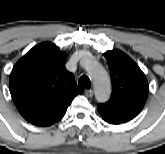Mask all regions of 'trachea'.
I'll return each mask as SVG.
<instances>
[{
  "label": "trachea",
  "mask_w": 165,
  "mask_h": 154,
  "mask_svg": "<svg viewBox=\"0 0 165 154\" xmlns=\"http://www.w3.org/2000/svg\"><path fill=\"white\" fill-rule=\"evenodd\" d=\"M78 85L80 87L90 89L91 88L90 79L86 75H83V76L80 77Z\"/></svg>",
  "instance_id": "trachea-1"
}]
</instances>
